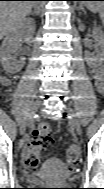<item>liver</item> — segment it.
Masks as SVG:
<instances>
[{
  "label": "liver",
  "mask_w": 104,
  "mask_h": 189,
  "mask_svg": "<svg viewBox=\"0 0 104 189\" xmlns=\"http://www.w3.org/2000/svg\"><path fill=\"white\" fill-rule=\"evenodd\" d=\"M34 1H1L0 2V34L5 36L16 30L19 23L35 6Z\"/></svg>",
  "instance_id": "obj_1"
}]
</instances>
